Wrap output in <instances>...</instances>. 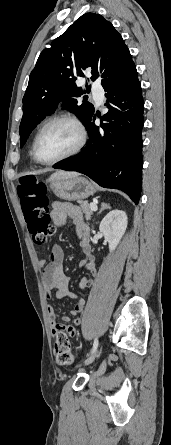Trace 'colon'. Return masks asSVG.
Instances as JSON below:
<instances>
[{
    "mask_svg": "<svg viewBox=\"0 0 171 445\" xmlns=\"http://www.w3.org/2000/svg\"><path fill=\"white\" fill-rule=\"evenodd\" d=\"M17 193L21 209L36 244H44L47 238L55 232L48 212L47 186L44 182L28 176L20 180ZM56 361L61 365H71L73 357L66 334L57 332L54 340Z\"/></svg>",
    "mask_w": 171,
    "mask_h": 445,
    "instance_id": "obj_1",
    "label": "colon"
}]
</instances>
